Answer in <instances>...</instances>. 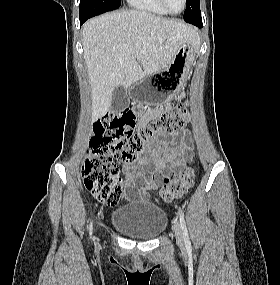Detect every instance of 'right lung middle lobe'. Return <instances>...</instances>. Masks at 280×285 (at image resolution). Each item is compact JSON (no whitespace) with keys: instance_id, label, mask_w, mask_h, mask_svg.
<instances>
[{"instance_id":"right-lung-middle-lobe-1","label":"right lung middle lobe","mask_w":280,"mask_h":285,"mask_svg":"<svg viewBox=\"0 0 280 285\" xmlns=\"http://www.w3.org/2000/svg\"><path fill=\"white\" fill-rule=\"evenodd\" d=\"M121 0H81L79 18L88 19L93 16L111 11L120 7Z\"/></svg>"}]
</instances>
